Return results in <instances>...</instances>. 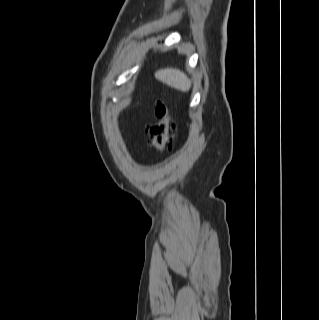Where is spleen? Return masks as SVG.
Wrapping results in <instances>:
<instances>
[{
  "label": "spleen",
  "mask_w": 319,
  "mask_h": 320,
  "mask_svg": "<svg viewBox=\"0 0 319 320\" xmlns=\"http://www.w3.org/2000/svg\"><path fill=\"white\" fill-rule=\"evenodd\" d=\"M155 78L177 90L187 92L191 88L190 79L179 69L165 68L156 71Z\"/></svg>",
  "instance_id": "obj_1"
}]
</instances>
